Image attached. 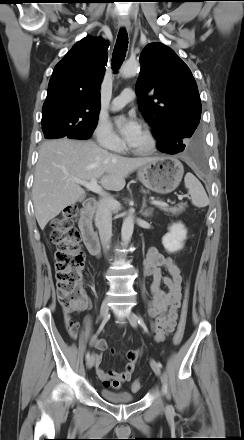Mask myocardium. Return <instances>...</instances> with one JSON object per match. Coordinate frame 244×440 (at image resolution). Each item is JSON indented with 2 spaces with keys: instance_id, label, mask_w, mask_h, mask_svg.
Wrapping results in <instances>:
<instances>
[{
  "instance_id": "1",
  "label": "myocardium",
  "mask_w": 244,
  "mask_h": 440,
  "mask_svg": "<svg viewBox=\"0 0 244 440\" xmlns=\"http://www.w3.org/2000/svg\"><path fill=\"white\" fill-rule=\"evenodd\" d=\"M142 132L146 138V144L143 147L135 148L131 145H129V150L135 154L139 155H147L150 153H153L158 145L157 137L154 133V131L147 125H144L142 127Z\"/></svg>"
}]
</instances>
